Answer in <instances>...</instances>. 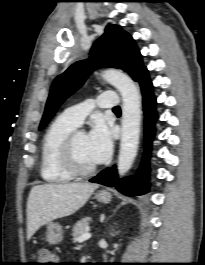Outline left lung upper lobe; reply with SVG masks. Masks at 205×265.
Returning a JSON list of instances; mask_svg holds the SVG:
<instances>
[{
  "label": "left lung upper lobe",
  "mask_w": 205,
  "mask_h": 265,
  "mask_svg": "<svg viewBox=\"0 0 205 265\" xmlns=\"http://www.w3.org/2000/svg\"><path fill=\"white\" fill-rule=\"evenodd\" d=\"M119 68L137 81L143 66L142 56L133 38L121 27L110 24L94 43L90 57L71 65L53 81L39 130L54 116L59 106L86 81L96 68Z\"/></svg>",
  "instance_id": "obj_1"
}]
</instances>
